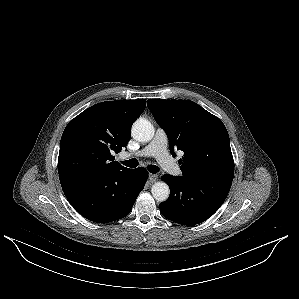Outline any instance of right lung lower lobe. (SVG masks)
Returning a JSON list of instances; mask_svg holds the SVG:
<instances>
[{
	"instance_id": "obj_1",
	"label": "right lung lower lobe",
	"mask_w": 299,
	"mask_h": 299,
	"mask_svg": "<svg viewBox=\"0 0 299 299\" xmlns=\"http://www.w3.org/2000/svg\"><path fill=\"white\" fill-rule=\"evenodd\" d=\"M147 178L148 172L137 168L92 176H62L60 183L78 213L93 222L106 223L129 214Z\"/></svg>"
}]
</instances>
